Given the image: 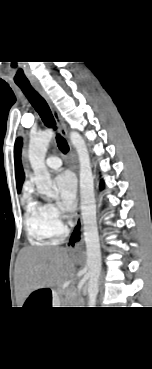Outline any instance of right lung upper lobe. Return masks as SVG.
Returning a JSON list of instances; mask_svg holds the SVG:
<instances>
[{
  "label": "right lung upper lobe",
  "mask_w": 152,
  "mask_h": 369,
  "mask_svg": "<svg viewBox=\"0 0 152 369\" xmlns=\"http://www.w3.org/2000/svg\"><path fill=\"white\" fill-rule=\"evenodd\" d=\"M21 145H22V141L20 138H18L16 140L15 150H14L16 184H17L18 192H20V189H21V186L24 180V173H23V169L21 166V160H20Z\"/></svg>",
  "instance_id": "obj_1"
}]
</instances>
